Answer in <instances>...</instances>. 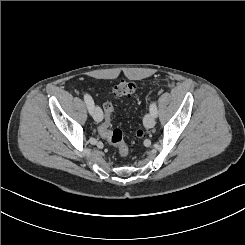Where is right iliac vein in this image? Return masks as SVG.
<instances>
[{
  "mask_svg": "<svg viewBox=\"0 0 245 245\" xmlns=\"http://www.w3.org/2000/svg\"><path fill=\"white\" fill-rule=\"evenodd\" d=\"M91 114L96 122H101L103 119V112L100 107L93 106Z\"/></svg>",
  "mask_w": 245,
  "mask_h": 245,
  "instance_id": "1",
  "label": "right iliac vein"
}]
</instances>
